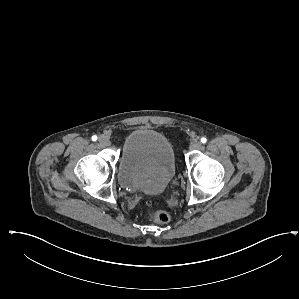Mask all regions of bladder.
I'll use <instances>...</instances> for the list:
<instances>
[{
  "label": "bladder",
  "instance_id": "1",
  "mask_svg": "<svg viewBox=\"0 0 299 299\" xmlns=\"http://www.w3.org/2000/svg\"><path fill=\"white\" fill-rule=\"evenodd\" d=\"M175 173V151L163 134L145 128L129 133L117 169L118 182L124 190L160 193Z\"/></svg>",
  "mask_w": 299,
  "mask_h": 299
}]
</instances>
